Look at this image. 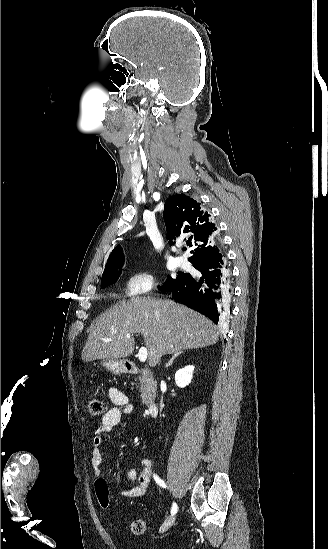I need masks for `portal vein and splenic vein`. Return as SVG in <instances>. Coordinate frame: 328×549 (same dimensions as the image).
<instances>
[{
    "label": "portal vein and splenic vein",
    "instance_id": "portal-vein-and-splenic-vein-1",
    "mask_svg": "<svg viewBox=\"0 0 328 549\" xmlns=\"http://www.w3.org/2000/svg\"><path fill=\"white\" fill-rule=\"evenodd\" d=\"M127 339H131V335H126ZM147 355H148V351L146 349V347H141V349H139V353L137 355L139 361H141V363H145L146 359H147Z\"/></svg>",
    "mask_w": 328,
    "mask_h": 549
}]
</instances>
